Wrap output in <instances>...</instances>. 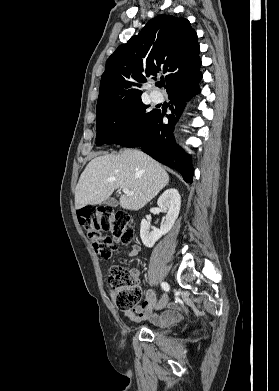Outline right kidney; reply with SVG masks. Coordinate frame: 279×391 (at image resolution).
<instances>
[{
    "label": "right kidney",
    "instance_id": "right-kidney-1",
    "mask_svg": "<svg viewBox=\"0 0 279 391\" xmlns=\"http://www.w3.org/2000/svg\"><path fill=\"white\" fill-rule=\"evenodd\" d=\"M157 205L166 213L160 229L151 226L150 221L143 219L140 226V237L143 244L151 248L163 235L168 233L178 218L181 206V196L177 189L165 190L158 198Z\"/></svg>",
    "mask_w": 279,
    "mask_h": 391
}]
</instances>
